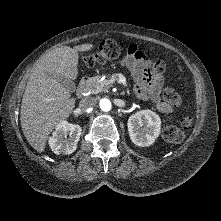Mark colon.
I'll return each mask as SVG.
<instances>
[{
	"label": "colon",
	"instance_id": "1",
	"mask_svg": "<svg viewBox=\"0 0 221 221\" xmlns=\"http://www.w3.org/2000/svg\"><path fill=\"white\" fill-rule=\"evenodd\" d=\"M121 52V46L113 40L103 42L100 49L92 54H88L84 58L87 66L93 67L104 64L107 61L115 59ZM165 70V63L162 60H157L153 63L150 73L154 76L161 75ZM163 99L172 106H179L181 104L180 94L172 87H167L163 91ZM191 124V117H183L180 125L168 124L163 130V137L173 143H179L184 139L185 132Z\"/></svg>",
	"mask_w": 221,
	"mask_h": 221
}]
</instances>
